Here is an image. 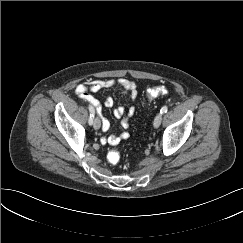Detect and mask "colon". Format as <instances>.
<instances>
[{
	"label": "colon",
	"instance_id": "5ec220e1",
	"mask_svg": "<svg viewBox=\"0 0 243 243\" xmlns=\"http://www.w3.org/2000/svg\"><path fill=\"white\" fill-rule=\"evenodd\" d=\"M167 93L168 89L165 86H154L147 89L148 98H155L160 95H166ZM107 159L110 164L116 165L121 159V154L118 150H110L107 154Z\"/></svg>",
	"mask_w": 243,
	"mask_h": 243
}]
</instances>
